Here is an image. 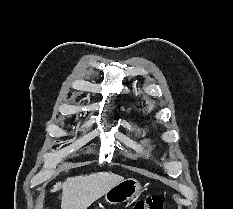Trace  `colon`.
<instances>
[{
	"instance_id": "1",
	"label": "colon",
	"mask_w": 233,
	"mask_h": 209,
	"mask_svg": "<svg viewBox=\"0 0 233 209\" xmlns=\"http://www.w3.org/2000/svg\"><path fill=\"white\" fill-rule=\"evenodd\" d=\"M132 209H163V200L160 195H150L135 202Z\"/></svg>"
}]
</instances>
